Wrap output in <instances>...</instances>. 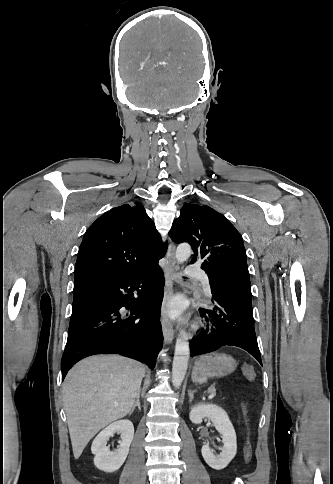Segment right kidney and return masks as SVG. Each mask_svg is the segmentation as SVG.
Listing matches in <instances>:
<instances>
[{
  "label": "right kidney",
  "instance_id": "obj_1",
  "mask_svg": "<svg viewBox=\"0 0 333 484\" xmlns=\"http://www.w3.org/2000/svg\"><path fill=\"white\" fill-rule=\"evenodd\" d=\"M116 432H120L121 441L118 449L110 451L107 441ZM133 436L134 426L131 421L119 420L110 424L97 435L92 443L91 451L95 455L94 465L106 473L117 471L126 460Z\"/></svg>",
  "mask_w": 333,
  "mask_h": 484
}]
</instances>
